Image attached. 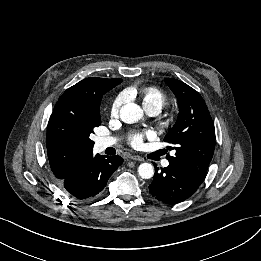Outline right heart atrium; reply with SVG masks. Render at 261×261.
Segmentation results:
<instances>
[{
	"mask_svg": "<svg viewBox=\"0 0 261 261\" xmlns=\"http://www.w3.org/2000/svg\"><path fill=\"white\" fill-rule=\"evenodd\" d=\"M127 94L126 92H121L120 94H118L114 100L111 103L110 106V116L111 117H117L120 111L121 106L123 105V103L125 102V100L127 99Z\"/></svg>",
	"mask_w": 261,
	"mask_h": 261,
	"instance_id": "d8ad5b80",
	"label": "right heart atrium"
}]
</instances>
